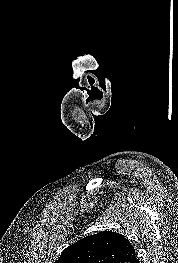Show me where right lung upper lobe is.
I'll return each instance as SVG.
<instances>
[{"instance_id":"obj_1","label":"right lung upper lobe","mask_w":178,"mask_h":263,"mask_svg":"<svg viewBox=\"0 0 178 263\" xmlns=\"http://www.w3.org/2000/svg\"><path fill=\"white\" fill-rule=\"evenodd\" d=\"M55 263H139V260L122 234L102 231L64 249Z\"/></svg>"}]
</instances>
